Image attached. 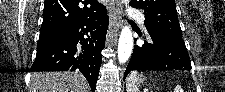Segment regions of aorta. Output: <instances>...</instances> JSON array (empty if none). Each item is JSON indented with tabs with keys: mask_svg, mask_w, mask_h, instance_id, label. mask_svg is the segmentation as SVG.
Instances as JSON below:
<instances>
[{
	"mask_svg": "<svg viewBox=\"0 0 225 92\" xmlns=\"http://www.w3.org/2000/svg\"><path fill=\"white\" fill-rule=\"evenodd\" d=\"M133 50V36L129 27L125 26L120 34L118 43V61L125 63L128 61Z\"/></svg>",
	"mask_w": 225,
	"mask_h": 92,
	"instance_id": "1",
	"label": "aorta"
}]
</instances>
